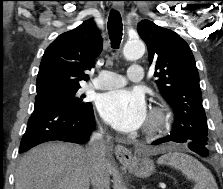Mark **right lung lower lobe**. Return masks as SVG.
<instances>
[{"label":"right lung lower lobe","instance_id":"obj_1","mask_svg":"<svg viewBox=\"0 0 223 189\" xmlns=\"http://www.w3.org/2000/svg\"><path fill=\"white\" fill-rule=\"evenodd\" d=\"M94 121L92 107L78 111L61 104L35 102L19 152L53 140L86 142L94 129Z\"/></svg>","mask_w":223,"mask_h":189}]
</instances>
